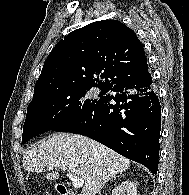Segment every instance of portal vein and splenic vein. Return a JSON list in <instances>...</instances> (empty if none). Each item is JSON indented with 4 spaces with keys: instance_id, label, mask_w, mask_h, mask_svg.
Masks as SVG:
<instances>
[{
    "instance_id": "1",
    "label": "portal vein and splenic vein",
    "mask_w": 189,
    "mask_h": 195,
    "mask_svg": "<svg viewBox=\"0 0 189 195\" xmlns=\"http://www.w3.org/2000/svg\"><path fill=\"white\" fill-rule=\"evenodd\" d=\"M53 168H54L53 166H49L50 170H52ZM67 177L70 179V181H72L74 188H81L84 184L83 179L79 178L78 176H76L75 174L71 172L67 173Z\"/></svg>"
}]
</instances>
